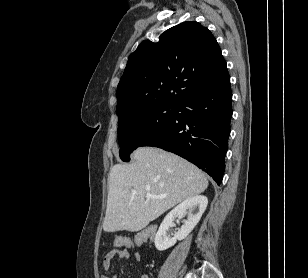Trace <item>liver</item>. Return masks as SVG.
Listing matches in <instances>:
<instances>
[{"label": "liver", "instance_id": "obj_1", "mask_svg": "<svg viewBox=\"0 0 308 278\" xmlns=\"http://www.w3.org/2000/svg\"><path fill=\"white\" fill-rule=\"evenodd\" d=\"M130 164H116L109 173L105 232H137L178 203L208 187L204 173L180 156L154 147H141ZM165 195L163 199L148 198ZM137 191L133 194L132 191Z\"/></svg>", "mask_w": 308, "mask_h": 278}]
</instances>
